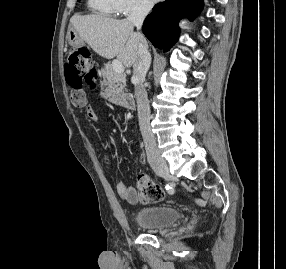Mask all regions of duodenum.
Returning <instances> with one entry per match:
<instances>
[{"label":"duodenum","mask_w":286,"mask_h":269,"mask_svg":"<svg viewBox=\"0 0 286 269\" xmlns=\"http://www.w3.org/2000/svg\"><path fill=\"white\" fill-rule=\"evenodd\" d=\"M120 105L125 108L133 109L135 107V102L130 97H124L120 100Z\"/></svg>","instance_id":"410a0bca"}]
</instances>
